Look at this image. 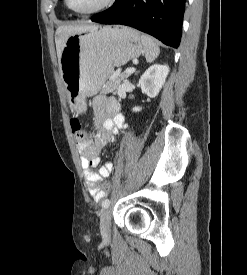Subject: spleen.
Returning <instances> with one entry per match:
<instances>
[{
	"label": "spleen",
	"mask_w": 247,
	"mask_h": 275,
	"mask_svg": "<svg viewBox=\"0 0 247 275\" xmlns=\"http://www.w3.org/2000/svg\"><path fill=\"white\" fill-rule=\"evenodd\" d=\"M141 41L143 44V49H144L143 52H144L146 61L148 63L153 62L160 53L159 46L155 43V41L151 37L147 35H142Z\"/></svg>",
	"instance_id": "1"
}]
</instances>
